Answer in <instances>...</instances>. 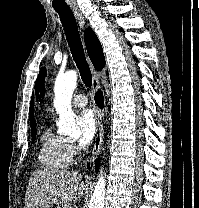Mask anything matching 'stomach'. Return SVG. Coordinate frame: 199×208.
<instances>
[{
  "label": "stomach",
  "instance_id": "stomach-1",
  "mask_svg": "<svg viewBox=\"0 0 199 208\" xmlns=\"http://www.w3.org/2000/svg\"><path fill=\"white\" fill-rule=\"evenodd\" d=\"M36 208H50L48 204H39Z\"/></svg>",
  "mask_w": 199,
  "mask_h": 208
}]
</instances>
